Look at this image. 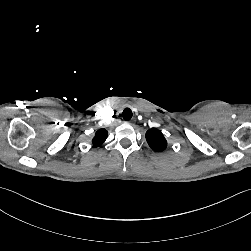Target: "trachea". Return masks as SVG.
Wrapping results in <instances>:
<instances>
[{"label":"trachea","instance_id":"trachea-1","mask_svg":"<svg viewBox=\"0 0 251 251\" xmlns=\"http://www.w3.org/2000/svg\"><path fill=\"white\" fill-rule=\"evenodd\" d=\"M132 111L129 108H125L122 113V117L124 120H130L132 118Z\"/></svg>","mask_w":251,"mask_h":251}]
</instances>
